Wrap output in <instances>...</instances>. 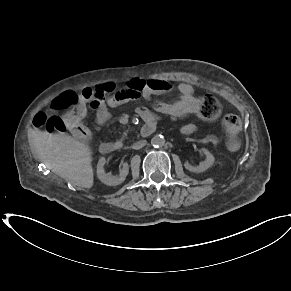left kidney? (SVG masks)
<instances>
[{
  "label": "left kidney",
  "mask_w": 291,
  "mask_h": 291,
  "mask_svg": "<svg viewBox=\"0 0 291 291\" xmlns=\"http://www.w3.org/2000/svg\"><path fill=\"white\" fill-rule=\"evenodd\" d=\"M202 151L206 156V160L203 162H200V164L198 166H195V167L190 165L188 162H186L185 168L187 170L194 172V173H201V172L206 171L208 168H210L213 165V163L215 161L214 156L205 148H203Z\"/></svg>",
  "instance_id": "1"
}]
</instances>
